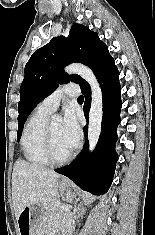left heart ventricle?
<instances>
[{"instance_id": "b2bd125f", "label": "left heart ventricle", "mask_w": 155, "mask_h": 235, "mask_svg": "<svg viewBox=\"0 0 155 235\" xmlns=\"http://www.w3.org/2000/svg\"><path fill=\"white\" fill-rule=\"evenodd\" d=\"M50 131L52 136L53 150L57 157H65L72 149L68 147L61 133V122L56 121L50 123Z\"/></svg>"}]
</instances>
